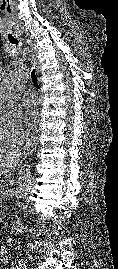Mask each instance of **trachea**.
<instances>
[{"instance_id": "trachea-1", "label": "trachea", "mask_w": 118, "mask_h": 269, "mask_svg": "<svg viewBox=\"0 0 118 269\" xmlns=\"http://www.w3.org/2000/svg\"><path fill=\"white\" fill-rule=\"evenodd\" d=\"M9 41H10L11 44H16V45L18 44V41L16 39H9ZM31 78H32V81H33L35 87L37 89H40V86H39L38 81H37V76H36L35 69H33L32 72H31Z\"/></svg>"}]
</instances>
